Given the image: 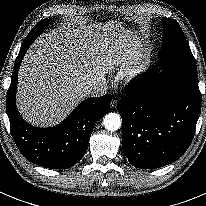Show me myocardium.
I'll return each instance as SVG.
<instances>
[{
  "label": "myocardium",
  "instance_id": "myocardium-1",
  "mask_svg": "<svg viewBox=\"0 0 206 206\" xmlns=\"http://www.w3.org/2000/svg\"><path fill=\"white\" fill-rule=\"evenodd\" d=\"M145 69H146L145 61H141L138 64H136L128 74L129 80H136L137 78L142 76V74L145 72Z\"/></svg>",
  "mask_w": 206,
  "mask_h": 206
}]
</instances>
